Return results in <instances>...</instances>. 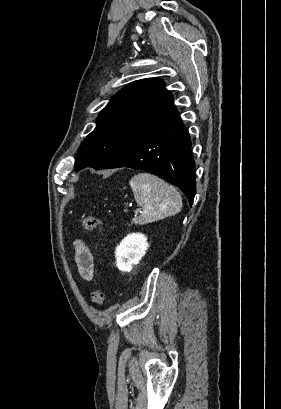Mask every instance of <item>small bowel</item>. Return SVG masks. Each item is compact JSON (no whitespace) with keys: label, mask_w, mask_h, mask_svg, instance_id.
<instances>
[{"label":"small bowel","mask_w":281,"mask_h":409,"mask_svg":"<svg viewBox=\"0 0 281 409\" xmlns=\"http://www.w3.org/2000/svg\"><path fill=\"white\" fill-rule=\"evenodd\" d=\"M74 262L80 277L90 281L94 273V258L90 249L80 240L74 243Z\"/></svg>","instance_id":"obj_1"}]
</instances>
